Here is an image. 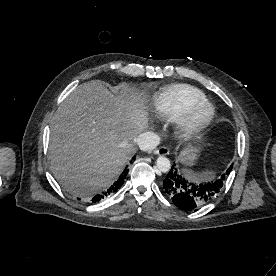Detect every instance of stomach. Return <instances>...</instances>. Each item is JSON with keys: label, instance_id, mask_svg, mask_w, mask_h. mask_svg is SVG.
I'll list each match as a JSON object with an SVG mask.
<instances>
[{"label": "stomach", "instance_id": "1", "mask_svg": "<svg viewBox=\"0 0 276 276\" xmlns=\"http://www.w3.org/2000/svg\"><path fill=\"white\" fill-rule=\"evenodd\" d=\"M198 152L197 148L186 147L180 152L178 160L183 164L192 165L198 157Z\"/></svg>", "mask_w": 276, "mask_h": 276}]
</instances>
